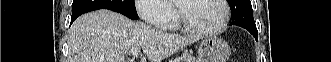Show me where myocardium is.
<instances>
[{"mask_svg":"<svg viewBox=\"0 0 331 62\" xmlns=\"http://www.w3.org/2000/svg\"><path fill=\"white\" fill-rule=\"evenodd\" d=\"M218 1L223 8V17L218 26H216L214 28L206 29V28H201V27L190 24L187 21L185 15L183 13L182 1H175L174 3H175V7L177 9L178 24L184 30L191 32V33H195V34H200V35H212V34H217V33L221 32L227 26V24L229 22L230 11H229L227 1H225V0H218Z\"/></svg>","mask_w":331,"mask_h":62,"instance_id":"obj_1","label":"myocardium"}]
</instances>
